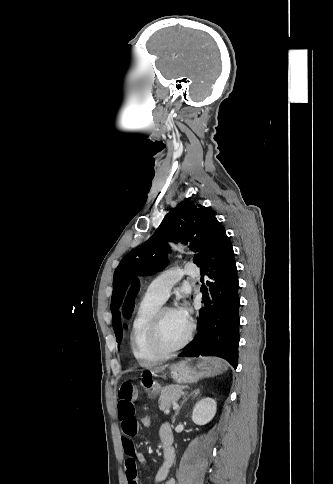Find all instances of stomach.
Returning a JSON list of instances; mask_svg holds the SVG:
<instances>
[{"label": "stomach", "mask_w": 333, "mask_h": 484, "mask_svg": "<svg viewBox=\"0 0 333 484\" xmlns=\"http://www.w3.org/2000/svg\"><path fill=\"white\" fill-rule=\"evenodd\" d=\"M226 369V365L222 360L215 358H202L195 366L189 360L177 362L169 367V374L171 378L178 384H189L197 382L201 378L213 377L222 373ZM156 372L151 371L154 376ZM141 385L145 391L154 396L161 390L160 385L150 376L141 381Z\"/></svg>", "instance_id": "1"}]
</instances>
